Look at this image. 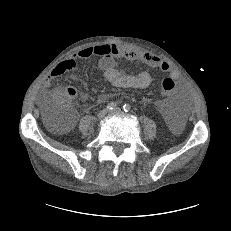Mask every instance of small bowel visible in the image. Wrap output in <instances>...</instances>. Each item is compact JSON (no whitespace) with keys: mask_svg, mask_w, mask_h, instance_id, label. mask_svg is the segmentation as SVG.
Instances as JSON below:
<instances>
[{"mask_svg":"<svg viewBox=\"0 0 231 231\" xmlns=\"http://www.w3.org/2000/svg\"><path fill=\"white\" fill-rule=\"evenodd\" d=\"M93 56L100 58L98 62V69L102 71L105 79L111 85L118 88L143 89L150 85L152 78L150 74L146 71H141L136 74H127L124 71L116 68L115 60L117 58L140 61L150 67L159 68L163 72L169 73L170 76H172L174 79L178 77V74L173 69V67L168 62L162 60L159 56L155 54L142 52L137 49L122 48L115 44H101L81 49L69 58L58 63L43 80L42 85L45 88H48L53 80L62 76L68 71L74 70L77 67L78 59L84 60ZM108 97V94H101L99 96V100L104 101ZM81 98L83 100H86L87 95L85 93H82ZM158 106L160 111L168 121L174 122L176 120V114L169 108L168 102L166 100H160L158 102ZM74 123L75 116L70 120L69 128L73 126Z\"/></svg>","mask_w":231,"mask_h":231,"instance_id":"1","label":"small bowel"}]
</instances>
